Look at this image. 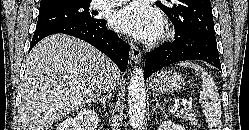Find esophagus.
Segmentation results:
<instances>
[{"label": "esophagus", "mask_w": 249, "mask_h": 130, "mask_svg": "<svg viewBox=\"0 0 249 130\" xmlns=\"http://www.w3.org/2000/svg\"><path fill=\"white\" fill-rule=\"evenodd\" d=\"M130 55H131V60L134 63H138L140 61V58H141V51L137 46L131 45Z\"/></svg>", "instance_id": "esophagus-1"}]
</instances>
